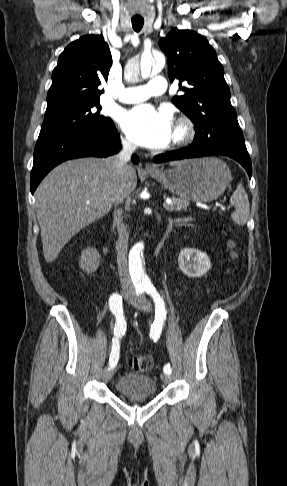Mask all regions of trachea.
I'll list each match as a JSON object with an SVG mask.
<instances>
[{"mask_svg":"<svg viewBox=\"0 0 287 486\" xmlns=\"http://www.w3.org/2000/svg\"><path fill=\"white\" fill-rule=\"evenodd\" d=\"M144 24L143 19H132V27L136 32H139Z\"/></svg>","mask_w":287,"mask_h":486,"instance_id":"1","label":"trachea"}]
</instances>
